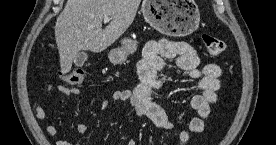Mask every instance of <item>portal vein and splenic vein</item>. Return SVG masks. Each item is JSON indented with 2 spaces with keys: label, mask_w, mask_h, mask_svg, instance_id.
I'll list each match as a JSON object with an SVG mask.
<instances>
[{
  "label": "portal vein and splenic vein",
  "mask_w": 276,
  "mask_h": 145,
  "mask_svg": "<svg viewBox=\"0 0 276 145\" xmlns=\"http://www.w3.org/2000/svg\"><path fill=\"white\" fill-rule=\"evenodd\" d=\"M110 20H111L110 17H108V16H105V17H104V21H105V22H109Z\"/></svg>",
  "instance_id": "portal-vein-and-splenic-vein-1"
}]
</instances>
